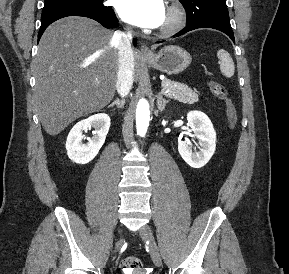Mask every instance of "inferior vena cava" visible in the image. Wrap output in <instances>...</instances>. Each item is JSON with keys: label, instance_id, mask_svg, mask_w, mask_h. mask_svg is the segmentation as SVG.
<instances>
[{"label": "inferior vena cava", "instance_id": "1", "mask_svg": "<svg viewBox=\"0 0 289 274\" xmlns=\"http://www.w3.org/2000/svg\"><path fill=\"white\" fill-rule=\"evenodd\" d=\"M119 53V68L117 73L116 90L121 97L128 95L133 84L134 57L132 50L131 32L117 31L112 37Z\"/></svg>", "mask_w": 289, "mask_h": 274}]
</instances>
